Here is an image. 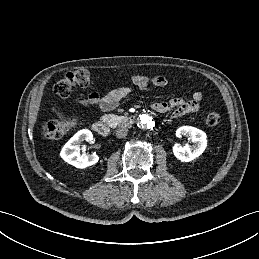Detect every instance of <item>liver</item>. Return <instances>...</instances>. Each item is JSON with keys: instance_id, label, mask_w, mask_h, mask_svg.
Instances as JSON below:
<instances>
[{"instance_id": "1", "label": "liver", "mask_w": 259, "mask_h": 259, "mask_svg": "<svg viewBox=\"0 0 259 259\" xmlns=\"http://www.w3.org/2000/svg\"><path fill=\"white\" fill-rule=\"evenodd\" d=\"M46 128H47V124H45V125L42 126V129H43V136H44V137H45V135H46V133H45Z\"/></svg>"}]
</instances>
